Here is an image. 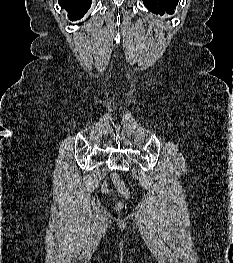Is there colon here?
<instances>
[{
  "instance_id": "obj_1",
  "label": "colon",
  "mask_w": 233,
  "mask_h": 263,
  "mask_svg": "<svg viewBox=\"0 0 233 263\" xmlns=\"http://www.w3.org/2000/svg\"><path fill=\"white\" fill-rule=\"evenodd\" d=\"M114 182L116 183V186L119 190V192L126 198L129 199L130 198V192L129 190L125 187V185L123 184V182L120 180V178L118 177V175L116 173L113 174L112 176Z\"/></svg>"
}]
</instances>
